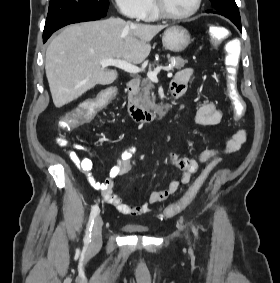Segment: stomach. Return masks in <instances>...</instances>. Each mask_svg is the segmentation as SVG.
Here are the masks:
<instances>
[{
	"label": "stomach",
	"mask_w": 280,
	"mask_h": 283,
	"mask_svg": "<svg viewBox=\"0 0 280 283\" xmlns=\"http://www.w3.org/2000/svg\"><path fill=\"white\" fill-rule=\"evenodd\" d=\"M162 43L166 50L178 53L188 47L191 43V36L184 27L174 25L164 31Z\"/></svg>",
	"instance_id": "0dacf381"
}]
</instances>
